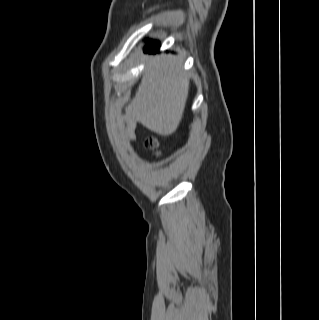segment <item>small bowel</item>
I'll return each instance as SVG.
<instances>
[{
    "instance_id": "c3829d8e",
    "label": "small bowel",
    "mask_w": 319,
    "mask_h": 320,
    "mask_svg": "<svg viewBox=\"0 0 319 320\" xmlns=\"http://www.w3.org/2000/svg\"><path fill=\"white\" fill-rule=\"evenodd\" d=\"M124 125H125V134L129 141L131 143H135L136 137H135V127L136 123L133 119L131 118H125L124 119Z\"/></svg>"
}]
</instances>
